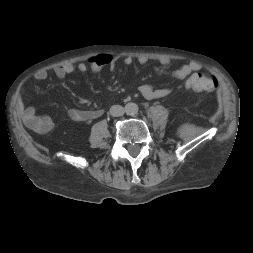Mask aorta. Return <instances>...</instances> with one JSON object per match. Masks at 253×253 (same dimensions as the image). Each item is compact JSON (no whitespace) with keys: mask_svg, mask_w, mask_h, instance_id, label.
Here are the masks:
<instances>
[{"mask_svg":"<svg viewBox=\"0 0 253 253\" xmlns=\"http://www.w3.org/2000/svg\"><path fill=\"white\" fill-rule=\"evenodd\" d=\"M138 105L132 102H129L125 105V112L128 115H135L138 113Z\"/></svg>","mask_w":253,"mask_h":253,"instance_id":"1","label":"aorta"}]
</instances>
